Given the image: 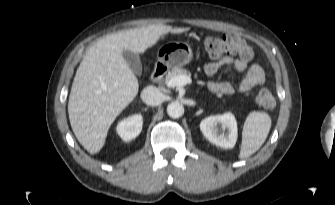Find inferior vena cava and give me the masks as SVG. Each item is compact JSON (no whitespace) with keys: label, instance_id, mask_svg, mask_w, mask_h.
I'll use <instances>...</instances> for the list:
<instances>
[{"label":"inferior vena cava","instance_id":"obj_1","mask_svg":"<svg viewBox=\"0 0 335 205\" xmlns=\"http://www.w3.org/2000/svg\"><path fill=\"white\" fill-rule=\"evenodd\" d=\"M162 98V92L154 86H147L141 92V99L147 105H159L162 102Z\"/></svg>","mask_w":335,"mask_h":205}]
</instances>
